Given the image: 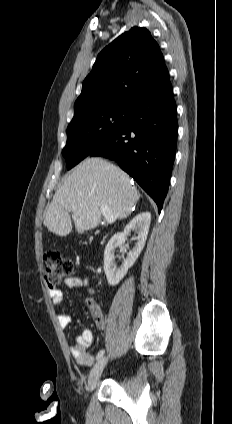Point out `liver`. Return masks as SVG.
<instances>
[{
  "label": "liver",
  "mask_w": 232,
  "mask_h": 424,
  "mask_svg": "<svg viewBox=\"0 0 232 424\" xmlns=\"http://www.w3.org/2000/svg\"><path fill=\"white\" fill-rule=\"evenodd\" d=\"M139 199L130 177L116 165L98 157L87 158L64 177L46 211L44 225L58 236L97 227L101 205H107L116 219L131 214ZM69 213H72V220Z\"/></svg>",
  "instance_id": "1"
}]
</instances>
